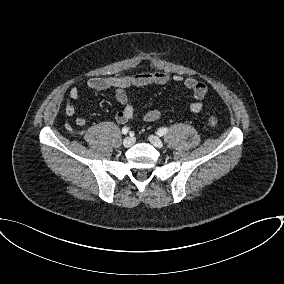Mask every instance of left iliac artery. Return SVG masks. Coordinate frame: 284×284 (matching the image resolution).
I'll use <instances>...</instances> for the list:
<instances>
[{
	"label": "left iliac artery",
	"instance_id": "1",
	"mask_svg": "<svg viewBox=\"0 0 284 284\" xmlns=\"http://www.w3.org/2000/svg\"><path fill=\"white\" fill-rule=\"evenodd\" d=\"M167 131H168V128H167V127H163V128H160V129L157 131V134H158L159 136H163V135H165V134L167 133Z\"/></svg>",
	"mask_w": 284,
	"mask_h": 284
}]
</instances>
